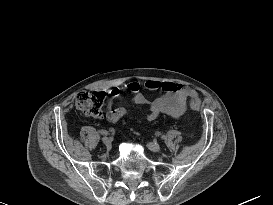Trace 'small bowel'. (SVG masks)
I'll return each mask as SVG.
<instances>
[{
    "instance_id": "1",
    "label": "small bowel",
    "mask_w": 273,
    "mask_h": 205,
    "mask_svg": "<svg viewBox=\"0 0 273 205\" xmlns=\"http://www.w3.org/2000/svg\"><path fill=\"white\" fill-rule=\"evenodd\" d=\"M143 86L150 91L157 89L164 91L163 95L150 100L141 91L142 86L138 81L131 80L125 84L133 102L149 107L148 112L144 115V118L149 121L156 119L160 114L180 118L186 112L190 101L198 98V93L194 89L178 83L148 80ZM119 94L118 88L109 91L106 118L110 122H117L129 113L126 108L116 105Z\"/></svg>"
}]
</instances>
